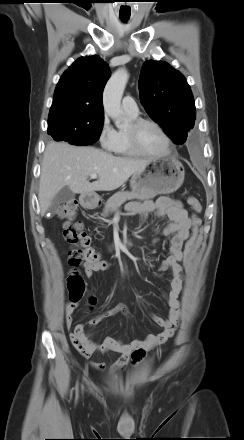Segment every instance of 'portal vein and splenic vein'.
Listing matches in <instances>:
<instances>
[{
	"instance_id": "obj_1",
	"label": "portal vein and splenic vein",
	"mask_w": 244,
	"mask_h": 440,
	"mask_svg": "<svg viewBox=\"0 0 244 440\" xmlns=\"http://www.w3.org/2000/svg\"><path fill=\"white\" fill-rule=\"evenodd\" d=\"M97 177H98L97 174H91V175H90V178H91V179H97Z\"/></svg>"
}]
</instances>
